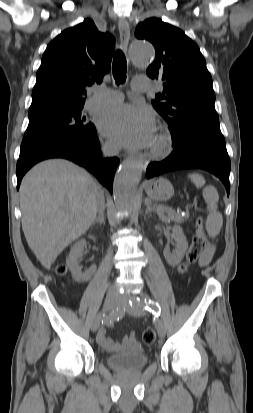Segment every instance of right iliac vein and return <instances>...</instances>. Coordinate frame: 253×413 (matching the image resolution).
<instances>
[{
    "label": "right iliac vein",
    "instance_id": "obj_1",
    "mask_svg": "<svg viewBox=\"0 0 253 413\" xmlns=\"http://www.w3.org/2000/svg\"><path fill=\"white\" fill-rule=\"evenodd\" d=\"M118 303H119V298L115 293L113 292L107 293L105 301H104V311L112 310L118 305ZM99 326H100V320L96 318L91 324V330L93 332H96Z\"/></svg>",
    "mask_w": 253,
    "mask_h": 413
}]
</instances>
